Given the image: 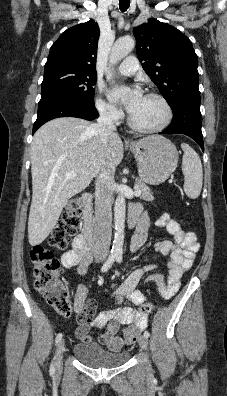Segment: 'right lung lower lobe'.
<instances>
[{
	"label": "right lung lower lobe",
	"instance_id": "right-lung-lower-lobe-1",
	"mask_svg": "<svg viewBox=\"0 0 227 396\" xmlns=\"http://www.w3.org/2000/svg\"><path fill=\"white\" fill-rule=\"evenodd\" d=\"M59 117L94 120L98 117V112L94 105H88L67 96H51L41 99L38 105L37 120L33 126V134L47 121Z\"/></svg>",
	"mask_w": 227,
	"mask_h": 396
}]
</instances>
